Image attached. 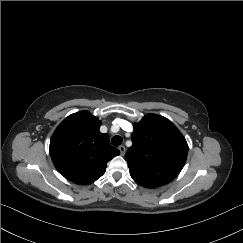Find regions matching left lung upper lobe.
<instances>
[{
	"instance_id": "obj_1",
	"label": "left lung upper lobe",
	"mask_w": 243,
	"mask_h": 243,
	"mask_svg": "<svg viewBox=\"0 0 243 243\" xmlns=\"http://www.w3.org/2000/svg\"><path fill=\"white\" fill-rule=\"evenodd\" d=\"M187 154V142L178 128L163 116L147 114L134 124L125 160L136 183L157 188L179 174Z\"/></svg>"
}]
</instances>
